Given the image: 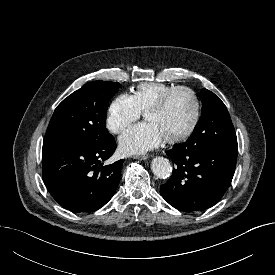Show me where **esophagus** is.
Here are the masks:
<instances>
[{
  "label": "esophagus",
  "mask_w": 275,
  "mask_h": 275,
  "mask_svg": "<svg viewBox=\"0 0 275 275\" xmlns=\"http://www.w3.org/2000/svg\"><path fill=\"white\" fill-rule=\"evenodd\" d=\"M133 158L138 160H146L148 157L146 155H134Z\"/></svg>",
  "instance_id": "1"
}]
</instances>
